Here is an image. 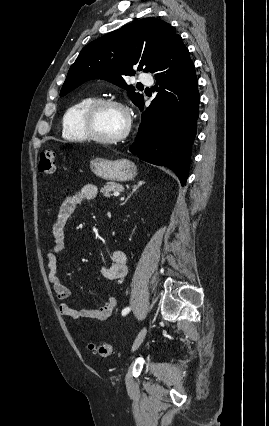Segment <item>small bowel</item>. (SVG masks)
I'll return each instance as SVG.
<instances>
[{
  "label": "small bowel",
  "instance_id": "obj_1",
  "mask_svg": "<svg viewBox=\"0 0 269 426\" xmlns=\"http://www.w3.org/2000/svg\"><path fill=\"white\" fill-rule=\"evenodd\" d=\"M98 187L94 184L84 185L77 193L67 197L59 206L52 226L53 244L46 250L48 280L51 284L56 300L59 302V312L67 319L87 318L97 321L106 320L117 306V298H108L99 308H75L70 306L66 299L70 295L69 288L58 277V255L66 250L65 226L75 209L86 200L98 196ZM102 275L106 280L123 282L127 275V255L123 250H114L109 257V263L102 268Z\"/></svg>",
  "mask_w": 269,
  "mask_h": 426
}]
</instances>
